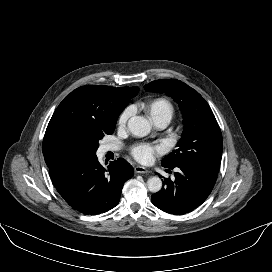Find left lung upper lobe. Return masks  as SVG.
<instances>
[{"instance_id":"obj_1","label":"left lung upper lobe","mask_w":272,"mask_h":272,"mask_svg":"<svg viewBox=\"0 0 272 272\" xmlns=\"http://www.w3.org/2000/svg\"><path fill=\"white\" fill-rule=\"evenodd\" d=\"M144 89L166 93L179 104L183 115L184 130L177 149L162 159V166L186 165L217 177L223 148L222 134L205 99L176 79L152 81Z\"/></svg>"}]
</instances>
